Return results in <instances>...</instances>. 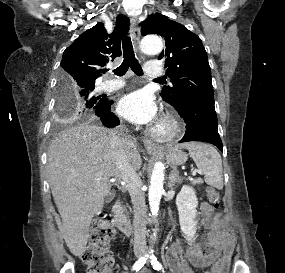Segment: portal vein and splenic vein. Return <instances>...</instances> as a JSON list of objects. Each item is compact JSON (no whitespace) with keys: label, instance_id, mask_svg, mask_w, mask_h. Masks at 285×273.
Listing matches in <instances>:
<instances>
[{"label":"portal vein and splenic vein","instance_id":"18ae733b","mask_svg":"<svg viewBox=\"0 0 285 273\" xmlns=\"http://www.w3.org/2000/svg\"><path fill=\"white\" fill-rule=\"evenodd\" d=\"M197 172H199V171L194 170V171L192 172V175L195 176ZM101 175H102L101 172H98V173H97V176H101Z\"/></svg>","mask_w":285,"mask_h":273}]
</instances>
